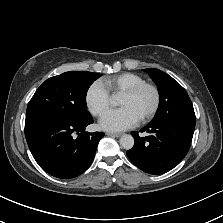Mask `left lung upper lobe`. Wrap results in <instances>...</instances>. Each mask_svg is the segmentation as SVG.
I'll use <instances>...</instances> for the list:
<instances>
[{
	"mask_svg": "<svg viewBox=\"0 0 223 223\" xmlns=\"http://www.w3.org/2000/svg\"><path fill=\"white\" fill-rule=\"evenodd\" d=\"M145 72L153 79L159 91V108L150 123L181 122L196 124L192 102L186 90L161 70L149 68Z\"/></svg>",
	"mask_w": 223,
	"mask_h": 223,
	"instance_id": "5c2ea615",
	"label": "left lung upper lobe"
}]
</instances>
